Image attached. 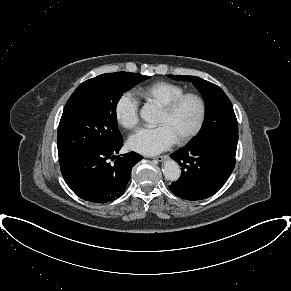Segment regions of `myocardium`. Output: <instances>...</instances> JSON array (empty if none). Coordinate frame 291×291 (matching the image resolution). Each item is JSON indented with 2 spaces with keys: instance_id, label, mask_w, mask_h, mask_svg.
Wrapping results in <instances>:
<instances>
[{
  "instance_id": "obj_1",
  "label": "myocardium",
  "mask_w": 291,
  "mask_h": 291,
  "mask_svg": "<svg viewBox=\"0 0 291 291\" xmlns=\"http://www.w3.org/2000/svg\"><path fill=\"white\" fill-rule=\"evenodd\" d=\"M194 99L199 106V115L196 121V124L192 128V130L187 133L182 138L178 139L176 142L178 144H186L191 141L198 133L201 131L207 114V105L205 99L198 93L195 92H184L181 95L175 97L170 102L162 106V111L167 114H172L176 109L180 106V104L186 99Z\"/></svg>"
}]
</instances>
